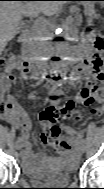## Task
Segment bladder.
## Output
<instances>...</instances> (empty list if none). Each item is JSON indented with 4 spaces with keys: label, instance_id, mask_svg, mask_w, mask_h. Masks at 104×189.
<instances>
[{
    "label": "bladder",
    "instance_id": "31cf9c89",
    "mask_svg": "<svg viewBox=\"0 0 104 189\" xmlns=\"http://www.w3.org/2000/svg\"><path fill=\"white\" fill-rule=\"evenodd\" d=\"M69 164H72L69 162ZM73 168L57 161L32 169L22 168L21 172L33 183L38 185L63 186L71 182Z\"/></svg>",
    "mask_w": 104,
    "mask_h": 189
}]
</instances>
